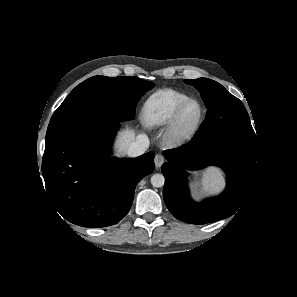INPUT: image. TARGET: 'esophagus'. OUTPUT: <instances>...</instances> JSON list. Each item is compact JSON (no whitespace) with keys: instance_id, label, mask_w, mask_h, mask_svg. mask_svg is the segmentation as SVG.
Instances as JSON below:
<instances>
[{"instance_id":"1","label":"esophagus","mask_w":297,"mask_h":297,"mask_svg":"<svg viewBox=\"0 0 297 297\" xmlns=\"http://www.w3.org/2000/svg\"><path fill=\"white\" fill-rule=\"evenodd\" d=\"M165 159L163 155L157 154L154 159L155 166L158 168L164 163Z\"/></svg>"}]
</instances>
